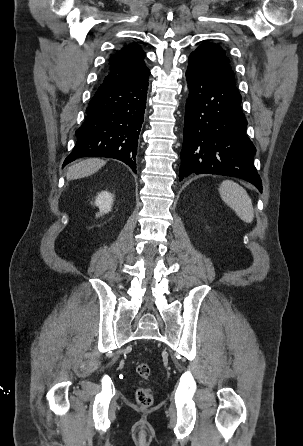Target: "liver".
<instances>
[{"label": "liver", "mask_w": 303, "mask_h": 446, "mask_svg": "<svg viewBox=\"0 0 303 446\" xmlns=\"http://www.w3.org/2000/svg\"><path fill=\"white\" fill-rule=\"evenodd\" d=\"M103 159L89 158L73 164L68 168L67 180H75L83 177L90 176L97 172L101 167L105 165Z\"/></svg>", "instance_id": "6515ba94"}]
</instances>
